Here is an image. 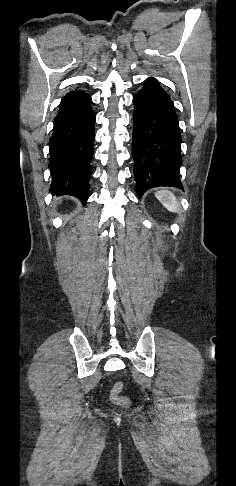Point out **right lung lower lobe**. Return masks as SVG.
<instances>
[{
  "label": "right lung lower lobe",
  "instance_id": "1",
  "mask_svg": "<svg viewBox=\"0 0 236 486\" xmlns=\"http://www.w3.org/2000/svg\"><path fill=\"white\" fill-rule=\"evenodd\" d=\"M91 97L84 93L63 99L50 138L49 169L53 195H72L84 204L89 195L95 114Z\"/></svg>",
  "mask_w": 236,
  "mask_h": 486
}]
</instances>
